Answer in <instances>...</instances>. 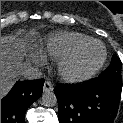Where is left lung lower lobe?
I'll list each match as a JSON object with an SVG mask.
<instances>
[{
	"label": "left lung lower lobe",
	"instance_id": "1",
	"mask_svg": "<svg viewBox=\"0 0 123 123\" xmlns=\"http://www.w3.org/2000/svg\"><path fill=\"white\" fill-rule=\"evenodd\" d=\"M122 83L97 77L78 85H58L59 123H113Z\"/></svg>",
	"mask_w": 123,
	"mask_h": 123
}]
</instances>
